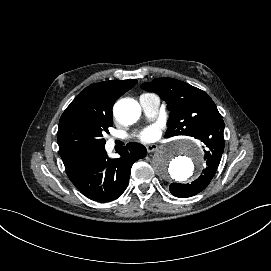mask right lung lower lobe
<instances>
[{
  "label": "right lung lower lobe",
  "instance_id": "98d812e1",
  "mask_svg": "<svg viewBox=\"0 0 271 271\" xmlns=\"http://www.w3.org/2000/svg\"><path fill=\"white\" fill-rule=\"evenodd\" d=\"M146 153L143 145L129 143L117 159L109 158L104 146L70 156L63 162L69 179L83 195L94 201L109 202L122 195L133 163Z\"/></svg>",
  "mask_w": 271,
  "mask_h": 271
}]
</instances>
